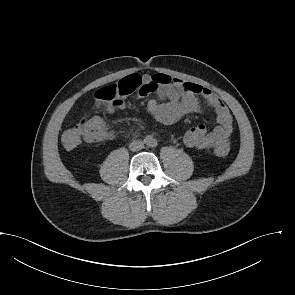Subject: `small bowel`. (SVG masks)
<instances>
[{"mask_svg":"<svg viewBox=\"0 0 295 295\" xmlns=\"http://www.w3.org/2000/svg\"><path fill=\"white\" fill-rule=\"evenodd\" d=\"M155 94L157 98L150 99L147 109L159 122L172 124L183 117L200 112L204 107L211 108L216 113L218 125L208 130L199 124L187 130L183 135V143L190 148L212 149L228 142L233 131V116L224 101L209 88L186 82L179 78L158 73L142 78V87L138 90L139 97ZM97 106L100 103L95 99ZM126 104L119 100L106 106L107 111L125 109ZM97 120V137H88L86 141L94 142L113 137V131L105 120Z\"/></svg>","mask_w":295,"mask_h":295,"instance_id":"small-bowel-1","label":"small bowel"}]
</instances>
